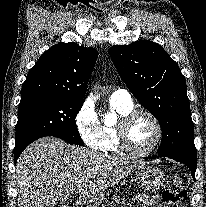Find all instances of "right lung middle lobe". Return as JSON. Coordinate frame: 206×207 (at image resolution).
<instances>
[{"label": "right lung middle lobe", "mask_w": 206, "mask_h": 207, "mask_svg": "<svg viewBox=\"0 0 206 207\" xmlns=\"http://www.w3.org/2000/svg\"><path fill=\"white\" fill-rule=\"evenodd\" d=\"M83 102L55 96H37L21 101L14 150L25 148L45 136L84 145L75 121Z\"/></svg>", "instance_id": "1"}]
</instances>
